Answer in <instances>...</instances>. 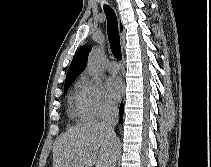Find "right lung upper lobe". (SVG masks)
Returning <instances> with one entry per match:
<instances>
[{
  "label": "right lung upper lobe",
  "instance_id": "right-lung-upper-lobe-1",
  "mask_svg": "<svg viewBox=\"0 0 211 167\" xmlns=\"http://www.w3.org/2000/svg\"><path fill=\"white\" fill-rule=\"evenodd\" d=\"M120 30L122 31L121 24H120ZM90 50L91 48L89 45H84L76 52L70 64L69 70L67 72L65 82L71 80L74 81L76 76L79 75L85 69Z\"/></svg>",
  "mask_w": 211,
  "mask_h": 167
}]
</instances>
